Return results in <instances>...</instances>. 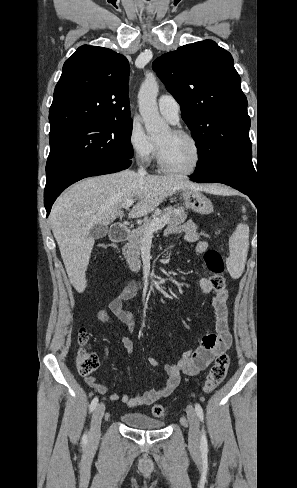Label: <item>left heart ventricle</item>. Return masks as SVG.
Segmentation results:
<instances>
[{
	"label": "left heart ventricle",
	"instance_id": "obj_1",
	"mask_svg": "<svg viewBox=\"0 0 297 488\" xmlns=\"http://www.w3.org/2000/svg\"><path fill=\"white\" fill-rule=\"evenodd\" d=\"M162 149L164 161L177 170L189 169L196 157L193 144L187 138L174 135L167 131L157 141Z\"/></svg>",
	"mask_w": 297,
	"mask_h": 488
}]
</instances>
